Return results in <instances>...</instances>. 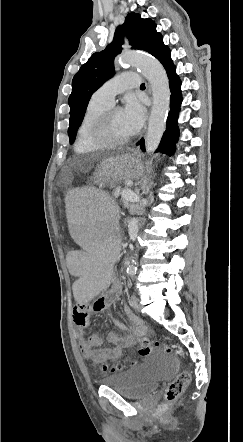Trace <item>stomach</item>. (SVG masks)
<instances>
[{"label": "stomach", "mask_w": 243, "mask_h": 442, "mask_svg": "<svg viewBox=\"0 0 243 442\" xmlns=\"http://www.w3.org/2000/svg\"><path fill=\"white\" fill-rule=\"evenodd\" d=\"M142 172V164L133 154H125L104 160L96 169L95 183L106 181L113 185L121 179L134 178Z\"/></svg>", "instance_id": "obj_1"}]
</instances>
